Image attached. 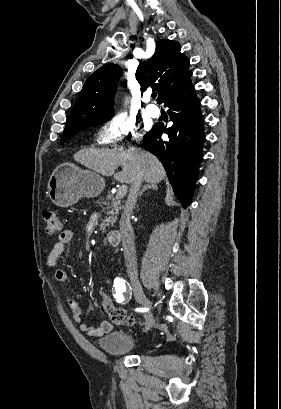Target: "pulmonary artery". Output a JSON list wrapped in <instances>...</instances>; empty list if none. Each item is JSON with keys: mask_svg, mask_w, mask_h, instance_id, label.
<instances>
[{"mask_svg": "<svg viewBox=\"0 0 281 409\" xmlns=\"http://www.w3.org/2000/svg\"><path fill=\"white\" fill-rule=\"evenodd\" d=\"M146 111H147V114H148L151 118H154V119L159 118L160 115H161V112H160V110H159L157 107H148V108L146 109Z\"/></svg>", "mask_w": 281, "mask_h": 409, "instance_id": "1", "label": "pulmonary artery"}]
</instances>
